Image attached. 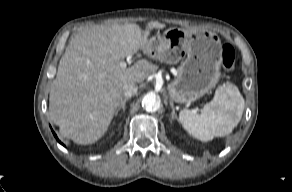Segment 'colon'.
<instances>
[{"label": "colon", "mask_w": 292, "mask_h": 192, "mask_svg": "<svg viewBox=\"0 0 292 192\" xmlns=\"http://www.w3.org/2000/svg\"><path fill=\"white\" fill-rule=\"evenodd\" d=\"M222 66L226 71H231L235 62V51L232 46L224 45L221 51Z\"/></svg>", "instance_id": "1"}]
</instances>
